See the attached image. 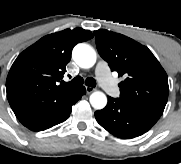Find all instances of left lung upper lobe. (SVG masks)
<instances>
[{
	"label": "left lung upper lobe",
	"instance_id": "left-lung-upper-lobe-1",
	"mask_svg": "<svg viewBox=\"0 0 181 164\" xmlns=\"http://www.w3.org/2000/svg\"><path fill=\"white\" fill-rule=\"evenodd\" d=\"M94 35L101 57L125 78L119 84L118 99L162 115L168 99V78L152 52L119 33L99 29Z\"/></svg>",
	"mask_w": 181,
	"mask_h": 164
}]
</instances>
